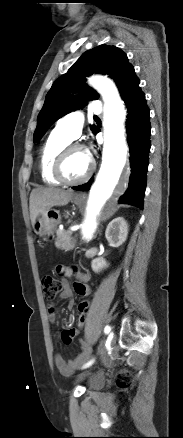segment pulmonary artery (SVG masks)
<instances>
[{
    "instance_id": "e3ab8cb5",
    "label": "pulmonary artery",
    "mask_w": 183,
    "mask_h": 438,
    "mask_svg": "<svg viewBox=\"0 0 183 438\" xmlns=\"http://www.w3.org/2000/svg\"><path fill=\"white\" fill-rule=\"evenodd\" d=\"M91 111L95 114L102 113V104L99 101H94L91 104ZM83 124V114L81 111L75 110L59 119L55 129L74 140L81 134Z\"/></svg>"
}]
</instances>
